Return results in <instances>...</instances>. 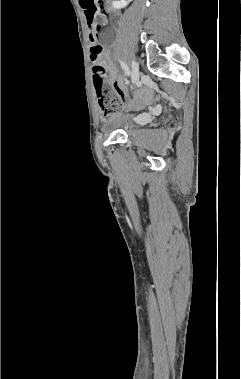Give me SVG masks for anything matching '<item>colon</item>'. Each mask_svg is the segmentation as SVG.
I'll list each match as a JSON object with an SVG mask.
<instances>
[{
	"instance_id": "obj_1",
	"label": "colon",
	"mask_w": 241,
	"mask_h": 379,
	"mask_svg": "<svg viewBox=\"0 0 241 379\" xmlns=\"http://www.w3.org/2000/svg\"><path fill=\"white\" fill-rule=\"evenodd\" d=\"M79 3L84 10L89 27H91L89 34L90 52L92 61L96 63L102 48L97 41V29L92 25L98 16L99 10H102L104 7V0H79ZM105 73L106 71L104 66L96 63L93 70L89 71V76L92 77V81L94 83L101 116L103 120H108L122 110L123 100L106 86L104 81Z\"/></svg>"
}]
</instances>
